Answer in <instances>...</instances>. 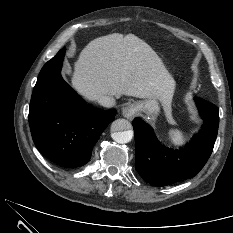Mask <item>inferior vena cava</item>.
Wrapping results in <instances>:
<instances>
[{"label": "inferior vena cava", "instance_id": "inferior-vena-cava-1", "mask_svg": "<svg viewBox=\"0 0 233 233\" xmlns=\"http://www.w3.org/2000/svg\"><path fill=\"white\" fill-rule=\"evenodd\" d=\"M98 102L104 107H112L115 105V99L111 96H101Z\"/></svg>", "mask_w": 233, "mask_h": 233}]
</instances>
